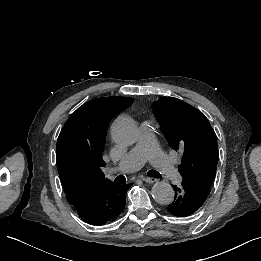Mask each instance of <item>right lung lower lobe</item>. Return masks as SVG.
I'll list each match as a JSON object with an SVG mask.
<instances>
[{
  "mask_svg": "<svg viewBox=\"0 0 261 261\" xmlns=\"http://www.w3.org/2000/svg\"><path fill=\"white\" fill-rule=\"evenodd\" d=\"M131 184L119 185L110 181L97 187L74 208L79 217L91 225L113 222L125 207L126 192Z\"/></svg>",
  "mask_w": 261,
  "mask_h": 261,
  "instance_id": "obj_1",
  "label": "right lung lower lobe"
}]
</instances>
